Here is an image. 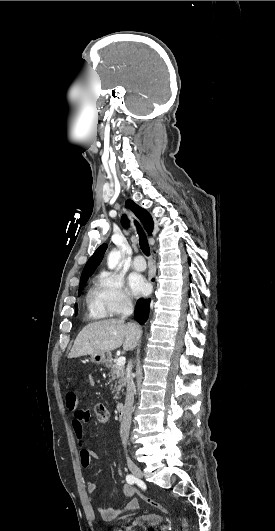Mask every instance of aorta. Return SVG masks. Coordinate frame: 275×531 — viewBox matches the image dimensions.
<instances>
[{
  "label": "aorta",
  "mask_w": 275,
  "mask_h": 531,
  "mask_svg": "<svg viewBox=\"0 0 275 531\" xmlns=\"http://www.w3.org/2000/svg\"><path fill=\"white\" fill-rule=\"evenodd\" d=\"M120 259H121L120 251H116V249H113V251H111V253H109L108 255V259H107L108 269H111V271H113V269H116Z\"/></svg>",
  "instance_id": "aorta-1"
}]
</instances>
